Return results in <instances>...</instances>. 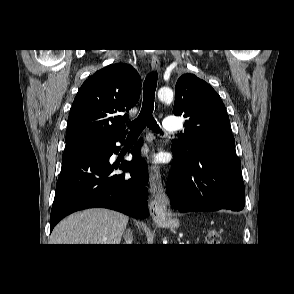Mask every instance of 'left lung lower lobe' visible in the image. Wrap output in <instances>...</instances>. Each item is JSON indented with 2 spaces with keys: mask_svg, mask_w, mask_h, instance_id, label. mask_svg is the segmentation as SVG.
<instances>
[{
  "mask_svg": "<svg viewBox=\"0 0 294 294\" xmlns=\"http://www.w3.org/2000/svg\"><path fill=\"white\" fill-rule=\"evenodd\" d=\"M174 155L167 194L171 206L182 212L244 208V183L238 157L221 152L196 151Z\"/></svg>",
  "mask_w": 294,
  "mask_h": 294,
  "instance_id": "obj_1",
  "label": "left lung lower lobe"
}]
</instances>
